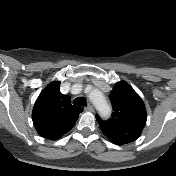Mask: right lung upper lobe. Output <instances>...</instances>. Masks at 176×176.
I'll return each mask as SVG.
<instances>
[{
    "mask_svg": "<svg viewBox=\"0 0 176 176\" xmlns=\"http://www.w3.org/2000/svg\"><path fill=\"white\" fill-rule=\"evenodd\" d=\"M82 107L71 104L70 97L60 92V82L48 85L38 96L32 120L40 136L58 139L75 124Z\"/></svg>",
    "mask_w": 176,
    "mask_h": 176,
    "instance_id": "obj_1",
    "label": "right lung upper lobe"
}]
</instances>
